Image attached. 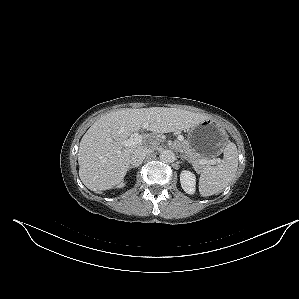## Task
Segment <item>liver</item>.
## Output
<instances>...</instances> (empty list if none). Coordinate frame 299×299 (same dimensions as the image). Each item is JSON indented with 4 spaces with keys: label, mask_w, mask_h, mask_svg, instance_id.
<instances>
[{
    "label": "liver",
    "mask_w": 299,
    "mask_h": 299,
    "mask_svg": "<svg viewBox=\"0 0 299 299\" xmlns=\"http://www.w3.org/2000/svg\"><path fill=\"white\" fill-rule=\"evenodd\" d=\"M208 116L176 108L122 109L100 117L84 134L78 151L79 177L92 191L109 190L120 184L138 148L148 147L149 134L133 146L125 141L141 128L154 133L190 129Z\"/></svg>",
    "instance_id": "liver-1"
}]
</instances>
